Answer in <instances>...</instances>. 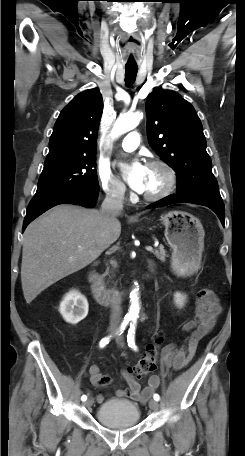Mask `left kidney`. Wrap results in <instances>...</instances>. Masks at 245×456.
Instances as JSON below:
<instances>
[{
  "label": "left kidney",
  "mask_w": 245,
  "mask_h": 456,
  "mask_svg": "<svg viewBox=\"0 0 245 456\" xmlns=\"http://www.w3.org/2000/svg\"><path fill=\"white\" fill-rule=\"evenodd\" d=\"M185 299H186V296L182 295L181 293L174 294V301L178 307H182L184 305Z\"/></svg>",
  "instance_id": "left-kidney-1"
}]
</instances>
